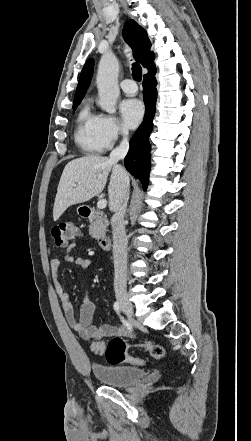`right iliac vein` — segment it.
<instances>
[{"mask_svg":"<svg viewBox=\"0 0 251 441\" xmlns=\"http://www.w3.org/2000/svg\"><path fill=\"white\" fill-rule=\"evenodd\" d=\"M116 298L121 310L128 316L129 319L133 320L134 310L127 295L125 293H117Z\"/></svg>","mask_w":251,"mask_h":441,"instance_id":"obj_1","label":"right iliac vein"}]
</instances>
